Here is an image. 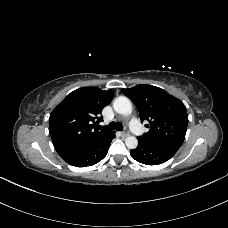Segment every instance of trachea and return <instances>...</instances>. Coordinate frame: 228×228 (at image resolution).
Instances as JSON below:
<instances>
[{
    "label": "trachea",
    "instance_id": "trachea-1",
    "mask_svg": "<svg viewBox=\"0 0 228 228\" xmlns=\"http://www.w3.org/2000/svg\"><path fill=\"white\" fill-rule=\"evenodd\" d=\"M97 128L104 131H110V130L122 131L123 125L119 122L117 123L111 122L108 126H98Z\"/></svg>",
    "mask_w": 228,
    "mask_h": 228
}]
</instances>
